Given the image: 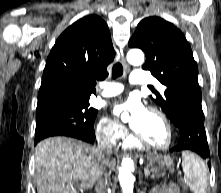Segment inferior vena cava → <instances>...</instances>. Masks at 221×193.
<instances>
[{"label": "inferior vena cava", "instance_id": "inferior-vena-cava-1", "mask_svg": "<svg viewBox=\"0 0 221 193\" xmlns=\"http://www.w3.org/2000/svg\"><path fill=\"white\" fill-rule=\"evenodd\" d=\"M98 150L101 154L100 168L97 172L95 190L97 193H106L108 178L110 172H108L107 165L109 163V155L115 146L112 133H104L97 138Z\"/></svg>", "mask_w": 221, "mask_h": 193}]
</instances>
